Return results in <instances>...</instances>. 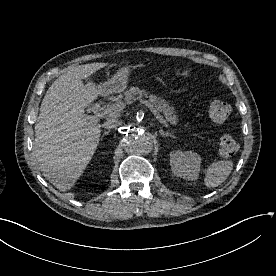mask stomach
I'll list each match as a JSON object with an SVG mask.
<instances>
[{"mask_svg": "<svg viewBox=\"0 0 276 276\" xmlns=\"http://www.w3.org/2000/svg\"><path fill=\"white\" fill-rule=\"evenodd\" d=\"M132 67L128 64L120 66L117 72L105 83L98 86L101 94H112L123 92L129 81Z\"/></svg>", "mask_w": 276, "mask_h": 276, "instance_id": "1", "label": "stomach"}]
</instances>
